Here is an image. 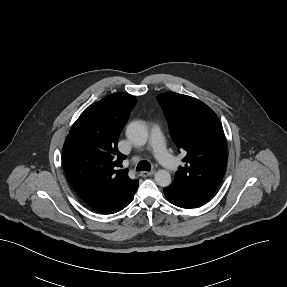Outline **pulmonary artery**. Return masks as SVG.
Wrapping results in <instances>:
<instances>
[{
	"label": "pulmonary artery",
	"instance_id": "1",
	"mask_svg": "<svg viewBox=\"0 0 287 287\" xmlns=\"http://www.w3.org/2000/svg\"><path fill=\"white\" fill-rule=\"evenodd\" d=\"M149 145L159 161V163L168 171L177 166V160L168 154L162 138V131L158 124H154L151 129Z\"/></svg>",
	"mask_w": 287,
	"mask_h": 287
}]
</instances>
